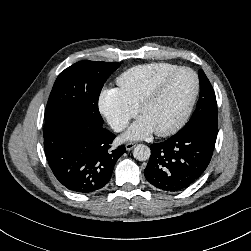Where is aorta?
I'll use <instances>...</instances> for the list:
<instances>
[{"mask_svg": "<svg viewBox=\"0 0 251 251\" xmlns=\"http://www.w3.org/2000/svg\"><path fill=\"white\" fill-rule=\"evenodd\" d=\"M151 154L150 148L144 144L137 145L133 150V156L139 161H146Z\"/></svg>", "mask_w": 251, "mask_h": 251, "instance_id": "aorta-1", "label": "aorta"}]
</instances>
